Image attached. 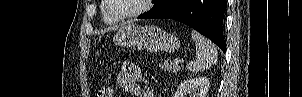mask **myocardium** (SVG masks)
<instances>
[{
  "mask_svg": "<svg viewBox=\"0 0 302 97\" xmlns=\"http://www.w3.org/2000/svg\"><path fill=\"white\" fill-rule=\"evenodd\" d=\"M106 12L116 21H126L136 18L147 12L151 6L152 0H142V5L136 11L127 15L116 14L111 7V0H104Z\"/></svg>",
  "mask_w": 302,
  "mask_h": 97,
  "instance_id": "f54148a6",
  "label": "myocardium"
}]
</instances>
